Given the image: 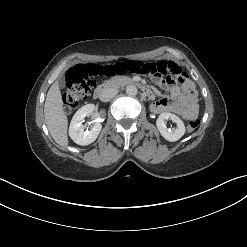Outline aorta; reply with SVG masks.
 <instances>
[{
  "label": "aorta",
  "instance_id": "obj_1",
  "mask_svg": "<svg viewBox=\"0 0 247 247\" xmlns=\"http://www.w3.org/2000/svg\"><path fill=\"white\" fill-rule=\"evenodd\" d=\"M126 93L129 96H135L138 93V89H137V87L135 85H129V86L126 87Z\"/></svg>",
  "mask_w": 247,
  "mask_h": 247
}]
</instances>
